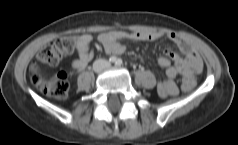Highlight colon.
I'll use <instances>...</instances> for the list:
<instances>
[{
	"mask_svg": "<svg viewBox=\"0 0 238 145\" xmlns=\"http://www.w3.org/2000/svg\"><path fill=\"white\" fill-rule=\"evenodd\" d=\"M75 47V37H61L42 49L36 56L31 66L32 84L41 92L62 99L66 97L69 90L67 75L64 72L48 75L40 70L42 65L54 66L61 59L73 51ZM194 84L190 81L183 80L182 88L185 91L192 89Z\"/></svg>",
	"mask_w": 238,
	"mask_h": 145,
	"instance_id": "5ec220e1",
	"label": "colon"
}]
</instances>
